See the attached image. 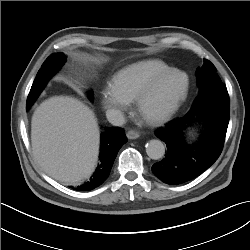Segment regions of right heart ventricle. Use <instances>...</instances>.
<instances>
[{
  "label": "right heart ventricle",
  "instance_id": "obj_1",
  "mask_svg": "<svg viewBox=\"0 0 250 250\" xmlns=\"http://www.w3.org/2000/svg\"><path fill=\"white\" fill-rule=\"evenodd\" d=\"M170 69V65L159 59L137 61L119 69L112 76L111 85L130 100H134L154 77Z\"/></svg>",
  "mask_w": 250,
  "mask_h": 250
}]
</instances>
